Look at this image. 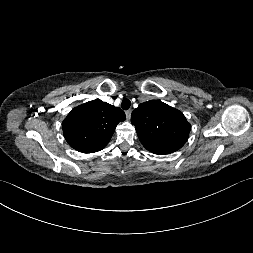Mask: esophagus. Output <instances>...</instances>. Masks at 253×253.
I'll return each mask as SVG.
<instances>
[{
	"mask_svg": "<svg viewBox=\"0 0 253 253\" xmlns=\"http://www.w3.org/2000/svg\"><path fill=\"white\" fill-rule=\"evenodd\" d=\"M125 114H126L127 120H129L130 117H131V110H127V111L125 112Z\"/></svg>",
	"mask_w": 253,
	"mask_h": 253,
	"instance_id": "1",
	"label": "esophagus"
}]
</instances>
